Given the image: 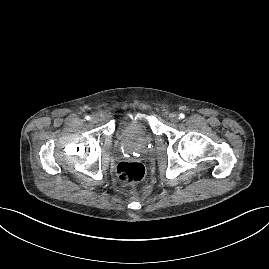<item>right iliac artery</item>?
<instances>
[{
  "label": "right iliac artery",
  "mask_w": 269,
  "mask_h": 269,
  "mask_svg": "<svg viewBox=\"0 0 269 269\" xmlns=\"http://www.w3.org/2000/svg\"><path fill=\"white\" fill-rule=\"evenodd\" d=\"M85 118H86V120H91L90 116H86Z\"/></svg>",
  "instance_id": "obj_1"
}]
</instances>
